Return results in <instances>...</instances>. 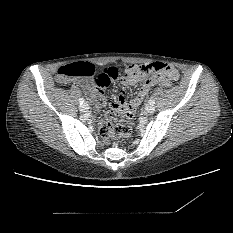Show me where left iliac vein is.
Instances as JSON below:
<instances>
[{"instance_id": "4c4485c4", "label": "left iliac vein", "mask_w": 233, "mask_h": 233, "mask_svg": "<svg viewBox=\"0 0 233 233\" xmlns=\"http://www.w3.org/2000/svg\"><path fill=\"white\" fill-rule=\"evenodd\" d=\"M145 111L147 113H153L155 111V106L151 105V104H148V105L145 106Z\"/></svg>"}]
</instances>
